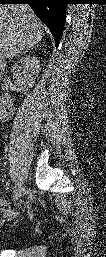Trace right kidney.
I'll return each mask as SVG.
<instances>
[{"label": "right kidney", "instance_id": "1", "mask_svg": "<svg viewBox=\"0 0 106 257\" xmlns=\"http://www.w3.org/2000/svg\"><path fill=\"white\" fill-rule=\"evenodd\" d=\"M39 61L34 56H27L12 66L11 72L13 77L16 79L17 85L16 89L19 91H27L29 87L34 84V76L38 72ZM10 78L4 82L2 86L3 90H6L0 98L1 109H11L12 101L11 97L8 95V84Z\"/></svg>", "mask_w": 106, "mask_h": 257}]
</instances>
